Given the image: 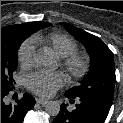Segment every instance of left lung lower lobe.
I'll list each match as a JSON object with an SVG mask.
<instances>
[{"instance_id": "left-lung-lower-lobe-1", "label": "left lung lower lobe", "mask_w": 123, "mask_h": 123, "mask_svg": "<svg viewBox=\"0 0 123 123\" xmlns=\"http://www.w3.org/2000/svg\"><path fill=\"white\" fill-rule=\"evenodd\" d=\"M65 96L74 102L79 100L76 109L72 112L67 110V105H61L60 112L53 120V123H103L108 115L112 102L88 96L72 97L65 93Z\"/></svg>"}]
</instances>
